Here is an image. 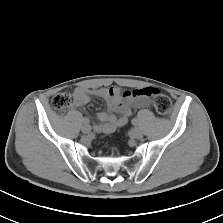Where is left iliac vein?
<instances>
[{
	"mask_svg": "<svg viewBox=\"0 0 223 223\" xmlns=\"http://www.w3.org/2000/svg\"><path fill=\"white\" fill-rule=\"evenodd\" d=\"M131 136L135 139H140L143 136V132L140 128H134L131 131Z\"/></svg>",
	"mask_w": 223,
	"mask_h": 223,
	"instance_id": "4c4485c4",
	"label": "left iliac vein"
}]
</instances>
